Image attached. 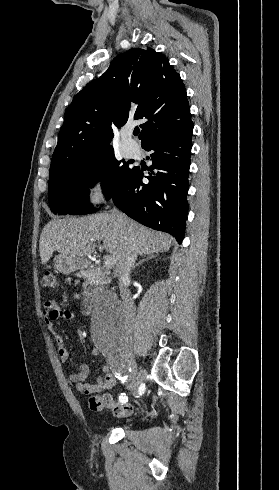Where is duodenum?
Segmentation results:
<instances>
[{"mask_svg":"<svg viewBox=\"0 0 279 490\" xmlns=\"http://www.w3.org/2000/svg\"><path fill=\"white\" fill-rule=\"evenodd\" d=\"M81 309L82 312L86 315H89L92 311V295L88 294L85 297H83L82 302H81Z\"/></svg>","mask_w":279,"mask_h":490,"instance_id":"obj_1","label":"duodenum"}]
</instances>
